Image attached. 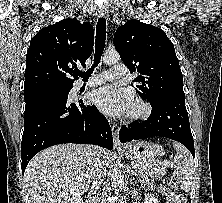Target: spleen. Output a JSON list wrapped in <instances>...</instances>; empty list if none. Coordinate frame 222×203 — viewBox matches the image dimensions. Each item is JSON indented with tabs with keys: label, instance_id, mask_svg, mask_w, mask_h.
I'll return each instance as SVG.
<instances>
[{
	"label": "spleen",
	"instance_id": "obj_1",
	"mask_svg": "<svg viewBox=\"0 0 222 203\" xmlns=\"http://www.w3.org/2000/svg\"><path fill=\"white\" fill-rule=\"evenodd\" d=\"M176 154L174 156V162L176 169L173 173L176 177L177 183L185 191H189L193 181L195 179V166L193 158L187 148L180 143L174 142Z\"/></svg>",
	"mask_w": 222,
	"mask_h": 203
}]
</instances>
